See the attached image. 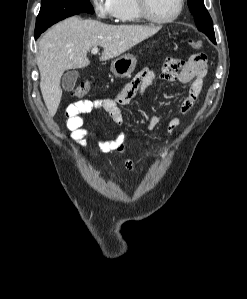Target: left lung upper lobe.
I'll list each match as a JSON object with an SVG mask.
<instances>
[{
    "mask_svg": "<svg viewBox=\"0 0 247 299\" xmlns=\"http://www.w3.org/2000/svg\"><path fill=\"white\" fill-rule=\"evenodd\" d=\"M188 7L194 16L198 30L206 34L212 42H216L212 19L203 0H188Z\"/></svg>",
    "mask_w": 247,
    "mask_h": 299,
    "instance_id": "5c2ea615",
    "label": "left lung upper lobe"
}]
</instances>
